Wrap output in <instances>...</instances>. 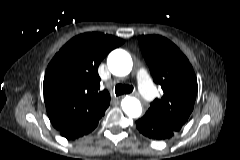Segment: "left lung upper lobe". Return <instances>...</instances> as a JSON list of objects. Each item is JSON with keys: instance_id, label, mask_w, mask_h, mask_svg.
Listing matches in <instances>:
<instances>
[{"instance_id": "obj_1", "label": "left lung upper lobe", "mask_w": 240, "mask_h": 160, "mask_svg": "<svg viewBox=\"0 0 240 160\" xmlns=\"http://www.w3.org/2000/svg\"><path fill=\"white\" fill-rule=\"evenodd\" d=\"M142 54L153 80L163 90L149 111L164 125L179 131L188 120L198 91L197 78L187 57L170 40L159 35L139 36Z\"/></svg>"}]
</instances>
